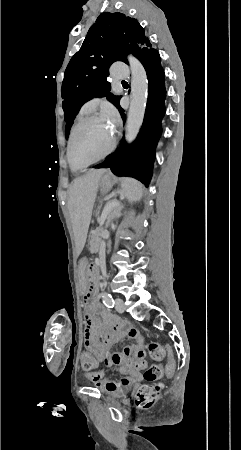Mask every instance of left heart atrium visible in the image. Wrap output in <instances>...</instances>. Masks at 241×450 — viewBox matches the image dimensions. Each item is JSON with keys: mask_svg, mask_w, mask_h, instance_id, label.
Segmentation results:
<instances>
[{"mask_svg": "<svg viewBox=\"0 0 241 450\" xmlns=\"http://www.w3.org/2000/svg\"><path fill=\"white\" fill-rule=\"evenodd\" d=\"M108 114H109V116L111 117V119L113 121H115V122L118 121V117H117V115H116V113L114 111L109 110Z\"/></svg>", "mask_w": 241, "mask_h": 450, "instance_id": "left-heart-atrium-1", "label": "left heart atrium"}]
</instances>
